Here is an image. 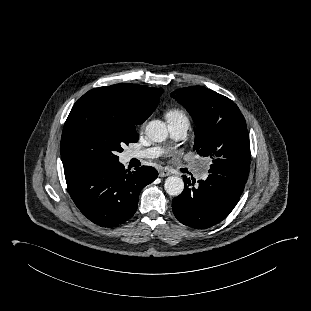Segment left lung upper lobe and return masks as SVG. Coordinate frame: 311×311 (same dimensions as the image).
<instances>
[{"instance_id": "left-lung-upper-lobe-1", "label": "left lung upper lobe", "mask_w": 311, "mask_h": 311, "mask_svg": "<svg viewBox=\"0 0 311 311\" xmlns=\"http://www.w3.org/2000/svg\"><path fill=\"white\" fill-rule=\"evenodd\" d=\"M171 96L196 124L194 150L212 159L209 173L244 183L250 170V142L245 119L229 98L201 86L177 89Z\"/></svg>"}]
</instances>
